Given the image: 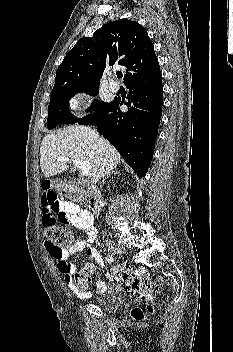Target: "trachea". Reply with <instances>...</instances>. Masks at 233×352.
Wrapping results in <instances>:
<instances>
[{
	"label": "trachea",
	"mask_w": 233,
	"mask_h": 352,
	"mask_svg": "<svg viewBox=\"0 0 233 352\" xmlns=\"http://www.w3.org/2000/svg\"><path fill=\"white\" fill-rule=\"evenodd\" d=\"M117 77L120 79L123 77V74L122 73H117Z\"/></svg>",
	"instance_id": "3493384b"
}]
</instances>
